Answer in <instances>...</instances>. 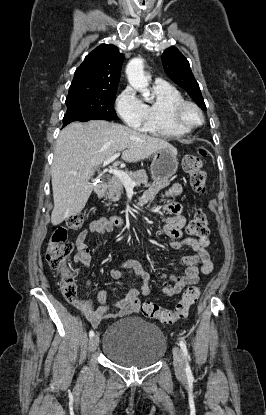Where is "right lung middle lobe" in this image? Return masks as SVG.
<instances>
[{
  "instance_id": "obj_1",
  "label": "right lung middle lobe",
  "mask_w": 266,
  "mask_h": 415,
  "mask_svg": "<svg viewBox=\"0 0 266 415\" xmlns=\"http://www.w3.org/2000/svg\"><path fill=\"white\" fill-rule=\"evenodd\" d=\"M116 92L76 91L69 92L66 98L67 112L63 125L73 121L86 122L94 119L116 120L114 110Z\"/></svg>"
}]
</instances>
